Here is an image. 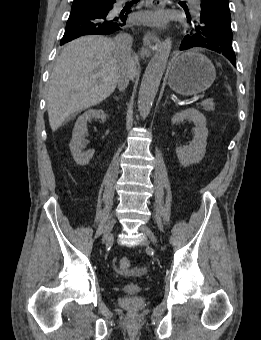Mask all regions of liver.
<instances>
[{
    "mask_svg": "<svg viewBox=\"0 0 261 340\" xmlns=\"http://www.w3.org/2000/svg\"><path fill=\"white\" fill-rule=\"evenodd\" d=\"M136 62L123 57L110 38L90 35L70 42L58 57L50 76L47 111L52 131L66 119L97 105L115 90L119 75Z\"/></svg>",
    "mask_w": 261,
    "mask_h": 340,
    "instance_id": "liver-1",
    "label": "liver"
}]
</instances>
